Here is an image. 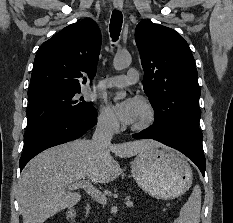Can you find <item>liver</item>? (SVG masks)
<instances>
[{
  "instance_id": "1",
  "label": "liver",
  "mask_w": 233,
  "mask_h": 223,
  "mask_svg": "<svg viewBox=\"0 0 233 223\" xmlns=\"http://www.w3.org/2000/svg\"><path fill=\"white\" fill-rule=\"evenodd\" d=\"M152 145L154 139H135L104 145L95 151L91 139H74L49 147L25 165L18 181L17 195L23 223H44L58 211L73 207L82 199L80 191H69L71 183L89 179L91 183H109L123 173L118 157H132Z\"/></svg>"
}]
</instances>
